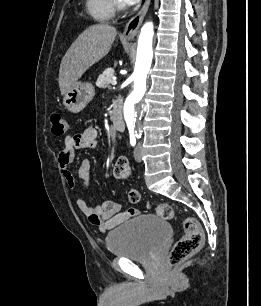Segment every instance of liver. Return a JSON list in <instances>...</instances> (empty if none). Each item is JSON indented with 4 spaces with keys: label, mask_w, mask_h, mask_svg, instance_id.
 Returning <instances> with one entry per match:
<instances>
[{
    "label": "liver",
    "mask_w": 261,
    "mask_h": 306,
    "mask_svg": "<svg viewBox=\"0 0 261 306\" xmlns=\"http://www.w3.org/2000/svg\"><path fill=\"white\" fill-rule=\"evenodd\" d=\"M117 35L116 28L96 24L85 29L64 55L59 69V87L64 95L95 63L105 57Z\"/></svg>",
    "instance_id": "liver-1"
}]
</instances>
